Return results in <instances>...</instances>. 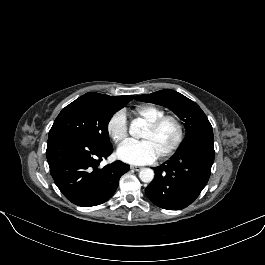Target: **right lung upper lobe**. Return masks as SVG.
<instances>
[{"mask_svg":"<svg viewBox=\"0 0 265 265\" xmlns=\"http://www.w3.org/2000/svg\"><path fill=\"white\" fill-rule=\"evenodd\" d=\"M78 99L90 101L106 108H118V107L123 108L129 101L133 99V96L126 95V96L112 97L105 94L90 92L79 97Z\"/></svg>","mask_w":265,"mask_h":265,"instance_id":"right-lung-upper-lobe-1","label":"right lung upper lobe"}]
</instances>
